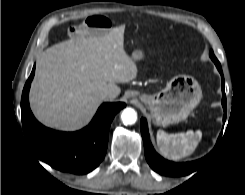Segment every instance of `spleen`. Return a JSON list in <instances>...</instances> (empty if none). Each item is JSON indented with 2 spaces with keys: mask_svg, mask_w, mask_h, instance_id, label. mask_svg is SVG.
<instances>
[{
  "mask_svg": "<svg viewBox=\"0 0 245 195\" xmlns=\"http://www.w3.org/2000/svg\"><path fill=\"white\" fill-rule=\"evenodd\" d=\"M156 137L160 153L168 159L177 161L195 151L202 138V132L189 130L185 133L167 134L163 130H158Z\"/></svg>",
  "mask_w": 245,
  "mask_h": 195,
  "instance_id": "1",
  "label": "spleen"
}]
</instances>
